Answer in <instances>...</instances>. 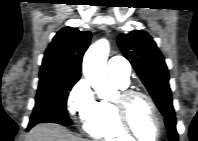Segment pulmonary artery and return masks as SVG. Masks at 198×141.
Instances as JSON below:
<instances>
[{
    "instance_id": "1",
    "label": "pulmonary artery",
    "mask_w": 198,
    "mask_h": 141,
    "mask_svg": "<svg viewBox=\"0 0 198 141\" xmlns=\"http://www.w3.org/2000/svg\"><path fill=\"white\" fill-rule=\"evenodd\" d=\"M108 75L112 81H118L121 83H129V64L127 61L120 57H112L107 65Z\"/></svg>"
}]
</instances>
